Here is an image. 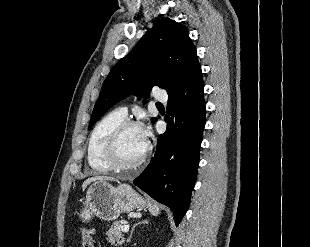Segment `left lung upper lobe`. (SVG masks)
Masks as SVG:
<instances>
[{"label":"left lung upper lobe","mask_w":310,"mask_h":247,"mask_svg":"<svg viewBox=\"0 0 310 247\" xmlns=\"http://www.w3.org/2000/svg\"><path fill=\"white\" fill-rule=\"evenodd\" d=\"M187 28L169 18L156 20L136 46L112 68L96 102L89 129L131 93L147 98L154 85L173 91L198 68ZM157 119H152L154 123Z\"/></svg>","instance_id":"obj_1"}]
</instances>
